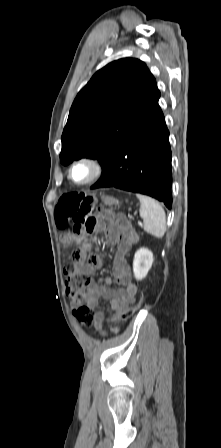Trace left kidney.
<instances>
[{"instance_id":"1","label":"left kidney","mask_w":221,"mask_h":448,"mask_svg":"<svg viewBox=\"0 0 221 448\" xmlns=\"http://www.w3.org/2000/svg\"><path fill=\"white\" fill-rule=\"evenodd\" d=\"M154 261L153 253L147 248L136 251L133 260V272L137 280L146 277Z\"/></svg>"}]
</instances>
